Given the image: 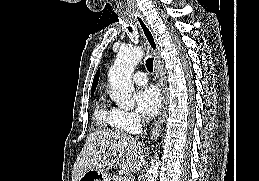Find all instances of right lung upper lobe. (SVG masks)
Here are the masks:
<instances>
[{
	"mask_svg": "<svg viewBox=\"0 0 259 181\" xmlns=\"http://www.w3.org/2000/svg\"><path fill=\"white\" fill-rule=\"evenodd\" d=\"M99 72H100V70L97 71V73H96V75L94 77L93 84H92L91 95H93L95 90H96V86H97L98 80H99Z\"/></svg>",
	"mask_w": 259,
	"mask_h": 181,
	"instance_id": "right-lung-upper-lobe-1",
	"label": "right lung upper lobe"
}]
</instances>
